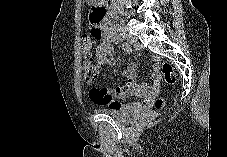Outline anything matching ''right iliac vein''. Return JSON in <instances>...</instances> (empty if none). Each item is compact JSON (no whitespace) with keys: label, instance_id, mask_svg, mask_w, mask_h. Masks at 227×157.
<instances>
[{"label":"right iliac vein","instance_id":"63e3f726","mask_svg":"<svg viewBox=\"0 0 227 157\" xmlns=\"http://www.w3.org/2000/svg\"><path fill=\"white\" fill-rule=\"evenodd\" d=\"M120 32L122 33L123 36L126 37V39H127L128 41H130V42H132V43L135 42V38H134L132 35H130L129 33H127V31L124 30L123 27H120Z\"/></svg>","mask_w":227,"mask_h":157}]
</instances>
